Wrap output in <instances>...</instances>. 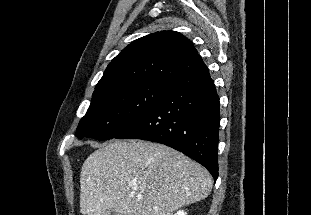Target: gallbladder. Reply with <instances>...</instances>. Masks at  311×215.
<instances>
[{
	"label": "gallbladder",
	"mask_w": 311,
	"mask_h": 215,
	"mask_svg": "<svg viewBox=\"0 0 311 215\" xmlns=\"http://www.w3.org/2000/svg\"><path fill=\"white\" fill-rule=\"evenodd\" d=\"M108 215H119L116 211L112 210L108 213Z\"/></svg>",
	"instance_id": "1"
}]
</instances>
